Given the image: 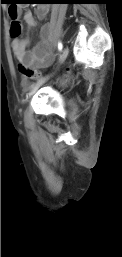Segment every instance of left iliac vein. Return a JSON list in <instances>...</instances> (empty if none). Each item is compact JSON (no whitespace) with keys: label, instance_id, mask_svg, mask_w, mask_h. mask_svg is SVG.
<instances>
[{"label":"left iliac vein","instance_id":"4c4485c4","mask_svg":"<svg viewBox=\"0 0 122 257\" xmlns=\"http://www.w3.org/2000/svg\"><path fill=\"white\" fill-rule=\"evenodd\" d=\"M69 54V49L68 47L64 48V50L62 51L60 58H59V63H63L65 61V59L67 58ZM49 76H46L40 80L37 81V83H35L32 87L31 90L28 93V96H32L37 90L38 88L43 85L47 80H48Z\"/></svg>","mask_w":122,"mask_h":257}]
</instances>
